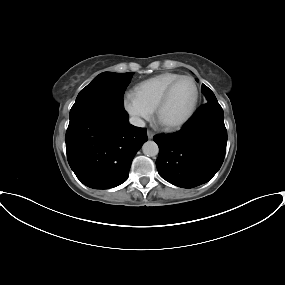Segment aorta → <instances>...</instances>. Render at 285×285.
Wrapping results in <instances>:
<instances>
[{
	"instance_id": "obj_1",
	"label": "aorta",
	"mask_w": 285,
	"mask_h": 285,
	"mask_svg": "<svg viewBox=\"0 0 285 285\" xmlns=\"http://www.w3.org/2000/svg\"><path fill=\"white\" fill-rule=\"evenodd\" d=\"M142 151L146 156L153 157L159 153V148L154 141H147L143 144Z\"/></svg>"
}]
</instances>
